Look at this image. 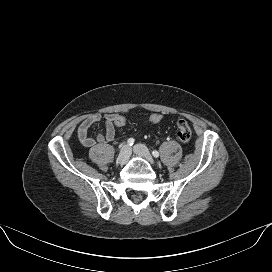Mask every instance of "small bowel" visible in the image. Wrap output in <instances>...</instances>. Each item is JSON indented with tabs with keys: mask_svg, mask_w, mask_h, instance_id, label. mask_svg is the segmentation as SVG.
Returning <instances> with one entry per match:
<instances>
[{
	"mask_svg": "<svg viewBox=\"0 0 272 272\" xmlns=\"http://www.w3.org/2000/svg\"><path fill=\"white\" fill-rule=\"evenodd\" d=\"M117 113H107L102 115L100 113H93L86 116L80 123L77 129V137L80 143L87 148L93 147L97 144L105 143L112 141L116 134V126L114 124ZM104 120L105 131L103 133H99L95 137L89 135L90 127Z\"/></svg>",
	"mask_w": 272,
	"mask_h": 272,
	"instance_id": "small-bowel-1",
	"label": "small bowel"
}]
</instances>
